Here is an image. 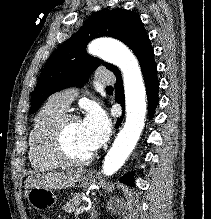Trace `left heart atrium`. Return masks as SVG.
I'll return each instance as SVG.
<instances>
[{"instance_id":"1","label":"left heart atrium","mask_w":211,"mask_h":219,"mask_svg":"<svg viewBox=\"0 0 211 219\" xmlns=\"http://www.w3.org/2000/svg\"><path fill=\"white\" fill-rule=\"evenodd\" d=\"M81 131L88 146L94 151L108 139L110 123L100 108L91 107L81 121Z\"/></svg>"}]
</instances>
